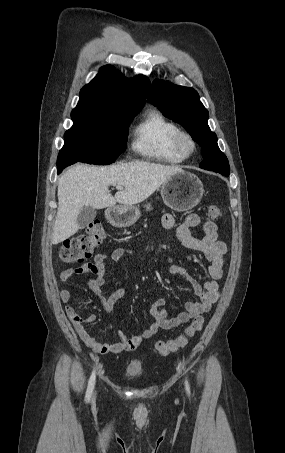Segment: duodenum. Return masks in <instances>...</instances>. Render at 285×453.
<instances>
[{
	"label": "duodenum",
	"instance_id": "1",
	"mask_svg": "<svg viewBox=\"0 0 285 453\" xmlns=\"http://www.w3.org/2000/svg\"><path fill=\"white\" fill-rule=\"evenodd\" d=\"M109 218H110L111 220H114V213H113V212H110V213H109Z\"/></svg>",
	"mask_w": 285,
	"mask_h": 453
}]
</instances>
